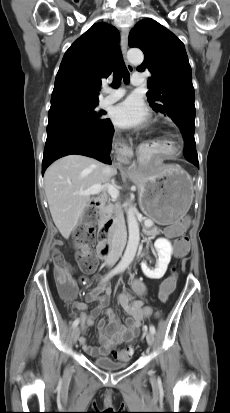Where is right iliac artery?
<instances>
[{"label":"right iliac artery","mask_w":230,"mask_h":413,"mask_svg":"<svg viewBox=\"0 0 230 413\" xmlns=\"http://www.w3.org/2000/svg\"><path fill=\"white\" fill-rule=\"evenodd\" d=\"M116 273H117V270H112V271H110V272L105 276V278L103 279V281L108 280L109 278H111L112 276H114ZM78 324H79V319H76V320L73 322L72 326H73V327H76Z\"/></svg>","instance_id":"obj_1"}]
</instances>
